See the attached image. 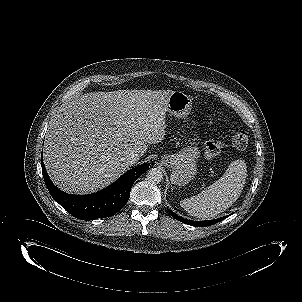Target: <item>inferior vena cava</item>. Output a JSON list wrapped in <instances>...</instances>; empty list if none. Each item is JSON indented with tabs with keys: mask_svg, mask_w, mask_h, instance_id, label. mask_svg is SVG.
<instances>
[{
	"mask_svg": "<svg viewBox=\"0 0 302 302\" xmlns=\"http://www.w3.org/2000/svg\"><path fill=\"white\" fill-rule=\"evenodd\" d=\"M140 158V155L134 151L129 152L126 157L125 161L129 166L134 165Z\"/></svg>",
	"mask_w": 302,
	"mask_h": 302,
	"instance_id": "602c4592",
	"label": "inferior vena cava"
}]
</instances>
